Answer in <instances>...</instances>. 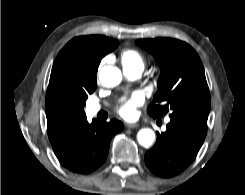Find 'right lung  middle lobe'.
<instances>
[{"mask_svg":"<svg viewBox=\"0 0 245 195\" xmlns=\"http://www.w3.org/2000/svg\"><path fill=\"white\" fill-rule=\"evenodd\" d=\"M96 84H97L96 82L93 83V84L87 89V91L84 92V94H83V100H84V101H86L87 95H88V94H91V93L94 92V90L96 89Z\"/></svg>","mask_w":245,"mask_h":195,"instance_id":"1","label":"right lung middle lobe"}]
</instances>
